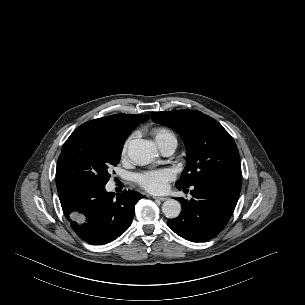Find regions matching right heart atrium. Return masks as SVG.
Here are the masks:
<instances>
[{
    "mask_svg": "<svg viewBox=\"0 0 305 305\" xmlns=\"http://www.w3.org/2000/svg\"><path fill=\"white\" fill-rule=\"evenodd\" d=\"M129 144H130V139H128V140L124 143V145H123V148H122V155H123V156H126V155H127Z\"/></svg>",
    "mask_w": 305,
    "mask_h": 305,
    "instance_id": "right-heart-atrium-1",
    "label": "right heart atrium"
}]
</instances>
